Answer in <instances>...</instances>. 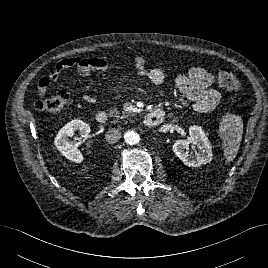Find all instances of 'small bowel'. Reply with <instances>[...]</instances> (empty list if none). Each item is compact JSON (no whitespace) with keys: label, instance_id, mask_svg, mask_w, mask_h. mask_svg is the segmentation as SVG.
Returning a JSON list of instances; mask_svg holds the SVG:
<instances>
[{"label":"small bowel","instance_id":"c3829d8e","mask_svg":"<svg viewBox=\"0 0 268 268\" xmlns=\"http://www.w3.org/2000/svg\"><path fill=\"white\" fill-rule=\"evenodd\" d=\"M149 59L138 55L134 58V73L138 77H146L150 82L160 85L165 81V72L160 68H148ZM109 62L103 57L83 58L79 56L64 58L59 61L54 70L42 77L38 82V92L43 95L51 82L68 70L75 69L81 77H88L93 72H106ZM179 91L193 103V108L198 112H209L219 102V93L212 87L213 76L205 69L192 67L187 74H180L175 79ZM42 87V90H40ZM83 101L94 103L96 97L90 93L82 95Z\"/></svg>","mask_w":268,"mask_h":268}]
</instances>
